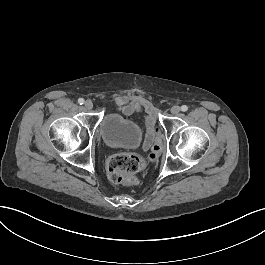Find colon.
<instances>
[{
    "instance_id": "colon-1",
    "label": "colon",
    "mask_w": 265,
    "mask_h": 265,
    "mask_svg": "<svg viewBox=\"0 0 265 265\" xmlns=\"http://www.w3.org/2000/svg\"><path fill=\"white\" fill-rule=\"evenodd\" d=\"M155 131H159L156 129ZM161 146L157 142L151 150L148 157L149 161L155 162L161 154ZM145 157L138 153L121 152L112 155L106 166V171L109 179L117 184L132 187L138 185L137 174H139L145 167L146 162L142 161Z\"/></svg>"
}]
</instances>
